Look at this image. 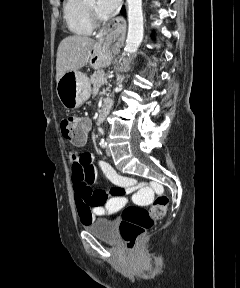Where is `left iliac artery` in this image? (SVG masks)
Returning a JSON list of instances; mask_svg holds the SVG:
<instances>
[{"label":"left iliac artery","mask_w":240,"mask_h":288,"mask_svg":"<svg viewBox=\"0 0 240 288\" xmlns=\"http://www.w3.org/2000/svg\"><path fill=\"white\" fill-rule=\"evenodd\" d=\"M100 145L105 148L107 146V143L104 140H101Z\"/></svg>","instance_id":"44dca946"}]
</instances>
